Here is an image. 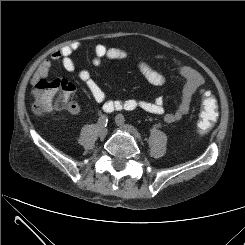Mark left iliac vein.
I'll list each match as a JSON object with an SVG mask.
<instances>
[{"mask_svg": "<svg viewBox=\"0 0 245 245\" xmlns=\"http://www.w3.org/2000/svg\"><path fill=\"white\" fill-rule=\"evenodd\" d=\"M115 122L118 126L125 129L127 132H129L131 135H133L136 139H140V134L137 130H135L132 126L127 125L124 123L122 119L117 115L115 118Z\"/></svg>", "mask_w": 245, "mask_h": 245, "instance_id": "4c4485c4", "label": "left iliac vein"}]
</instances>
